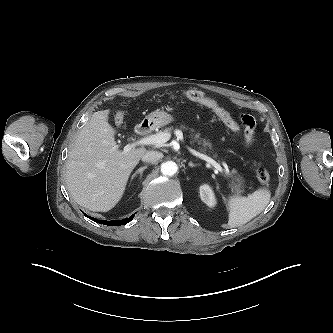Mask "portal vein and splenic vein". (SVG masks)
Returning <instances> with one entry per match:
<instances>
[{
    "label": "portal vein and splenic vein",
    "mask_w": 333,
    "mask_h": 333,
    "mask_svg": "<svg viewBox=\"0 0 333 333\" xmlns=\"http://www.w3.org/2000/svg\"><path fill=\"white\" fill-rule=\"evenodd\" d=\"M175 134L177 136L178 140H181L184 142L183 133L180 130H176ZM170 139V133L167 132H160L154 135H150L144 138L139 139L136 142L127 144L124 147L125 151H130L131 149L135 148L139 145H160L165 142H167ZM187 150L194 156L206 161L209 165L213 166L215 169H217L219 172H223V168L219 163H217L214 159L207 156L206 154L200 153L199 151H196L195 149L191 148L190 146L186 145Z\"/></svg>",
    "instance_id": "1"
}]
</instances>
